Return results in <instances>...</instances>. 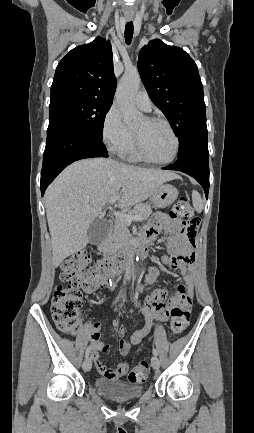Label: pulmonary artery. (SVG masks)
I'll use <instances>...</instances> for the list:
<instances>
[{"instance_id": "e3ab8cb5", "label": "pulmonary artery", "mask_w": 254, "mask_h": 433, "mask_svg": "<svg viewBox=\"0 0 254 433\" xmlns=\"http://www.w3.org/2000/svg\"><path fill=\"white\" fill-rule=\"evenodd\" d=\"M135 105L144 112H150L152 109V102L146 91H139L134 98Z\"/></svg>"}]
</instances>
